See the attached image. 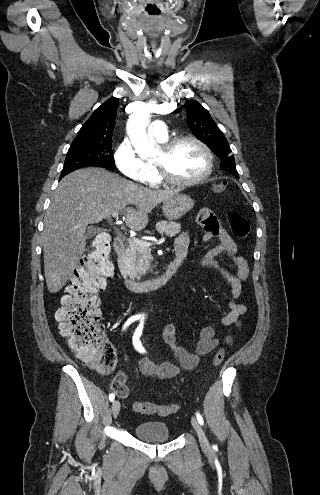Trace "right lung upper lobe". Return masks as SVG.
<instances>
[{
    "label": "right lung upper lobe",
    "instance_id": "obj_1",
    "mask_svg": "<svg viewBox=\"0 0 320 495\" xmlns=\"http://www.w3.org/2000/svg\"><path fill=\"white\" fill-rule=\"evenodd\" d=\"M117 98H110L100 105L84 123L72 144L111 143Z\"/></svg>",
    "mask_w": 320,
    "mask_h": 495
}]
</instances>
